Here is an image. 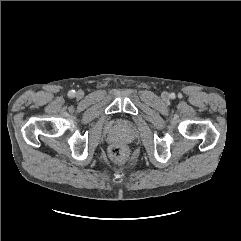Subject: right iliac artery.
<instances>
[{"instance_id":"1","label":"right iliac artery","mask_w":241,"mask_h":241,"mask_svg":"<svg viewBox=\"0 0 241 241\" xmlns=\"http://www.w3.org/2000/svg\"><path fill=\"white\" fill-rule=\"evenodd\" d=\"M75 94L76 93H75L74 90H71V91L68 92V96L71 97V98H73L75 96Z\"/></svg>"}]
</instances>
